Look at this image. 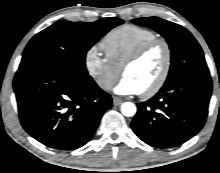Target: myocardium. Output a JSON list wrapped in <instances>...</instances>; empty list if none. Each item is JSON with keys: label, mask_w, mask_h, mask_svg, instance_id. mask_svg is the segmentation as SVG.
<instances>
[{"label": "myocardium", "mask_w": 220, "mask_h": 173, "mask_svg": "<svg viewBox=\"0 0 220 173\" xmlns=\"http://www.w3.org/2000/svg\"><path fill=\"white\" fill-rule=\"evenodd\" d=\"M162 46L165 50V63L163 70L159 76V78L155 81V83L147 90L141 92V96L143 98H150L155 96L165 85L170 71L172 67V48L170 44L161 38L154 39L143 46L139 47L123 64L122 74L132 65L142 60L150 51L155 49L156 47Z\"/></svg>", "instance_id": "1"}]
</instances>
